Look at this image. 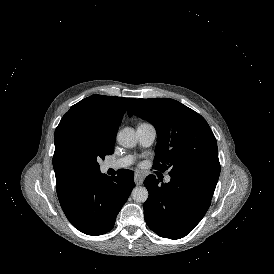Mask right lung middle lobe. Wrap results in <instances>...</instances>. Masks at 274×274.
<instances>
[{"instance_id": "obj_1", "label": "right lung middle lobe", "mask_w": 274, "mask_h": 274, "mask_svg": "<svg viewBox=\"0 0 274 274\" xmlns=\"http://www.w3.org/2000/svg\"><path fill=\"white\" fill-rule=\"evenodd\" d=\"M115 136L91 133L83 141L69 143L63 151L64 162L76 173L88 175L100 171L98 159L114 152Z\"/></svg>"}]
</instances>
